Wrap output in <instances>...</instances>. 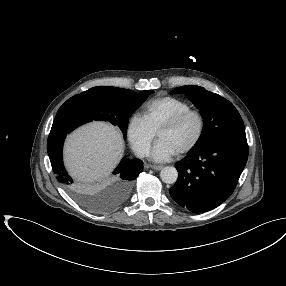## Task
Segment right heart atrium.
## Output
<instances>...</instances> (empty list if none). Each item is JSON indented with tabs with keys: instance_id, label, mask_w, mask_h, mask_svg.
Returning a JSON list of instances; mask_svg holds the SVG:
<instances>
[{
	"instance_id": "right-heart-atrium-1",
	"label": "right heart atrium",
	"mask_w": 286,
	"mask_h": 286,
	"mask_svg": "<svg viewBox=\"0 0 286 286\" xmlns=\"http://www.w3.org/2000/svg\"><path fill=\"white\" fill-rule=\"evenodd\" d=\"M126 135L133 151L139 157H146L156 133L150 128L143 116L134 115L128 121Z\"/></svg>"
}]
</instances>
